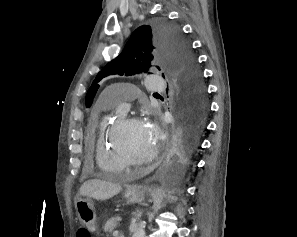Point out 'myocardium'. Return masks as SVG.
I'll list each match as a JSON object with an SVG mask.
<instances>
[{
  "mask_svg": "<svg viewBox=\"0 0 297 237\" xmlns=\"http://www.w3.org/2000/svg\"><path fill=\"white\" fill-rule=\"evenodd\" d=\"M140 119L136 116L121 117L115 124L111 134V146L115 154L120 158L123 164L128 166H146L153 163L159 156L160 150L158 147L143 159L134 158L124 147L121 136L126 127L130 124L139 122Z\"/></svg>",
  "mask_w": 297,
  "mask_h": 237,
  "instance_id": "1",
  "label": "myocardium"
}]
</instances>
